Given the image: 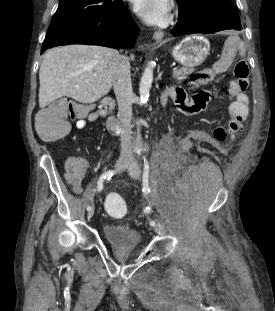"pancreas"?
<instances>
[{
  "instance_id": "1",
  "label": "pancreas",
  "mask_w": 275,
  "mask_h": 311,
  "mask_svg": "<svg viewBox=\"0 0 275 311\" xmlns=\"http://www.w3.org/2000/svg\"><path fill=\"white\" fill-rule=\"evenodd\" d=\"M193 72V68H182L178 70L176 73H173L175 79H182L185 76L191 74Z\"/></svg>"
}]
</instances>
